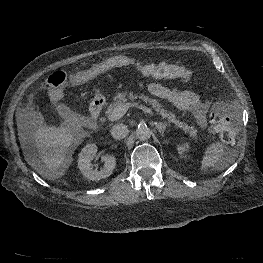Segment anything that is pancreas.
Here are the masks:
<instances>
[{"instance_id":"pancreas-1","label":"pancreas","mask_w":263,"mask_h":263,"mask_svg":"<svg viewBox=\"0 0 263 263\" xmlns=\"http://www.w3.org/2000/svg\"><path fill=\"white\" fill-rule=\"evenodd\" d=\"M128 99L134 101L137 99L143 100L148 105H151L152 108L160 114L163 118L167 119L168 122L175 124L177 127L183 129L185 132L189 134L190 137H192L194 140L197 138V129L194 126H189L185 122H181L178 120L175 115L172 112H169L168 110L164 109L162 105L159 103L158 99H152L148 96L142 95V94H134L132 92H122L118 93L114 99L113 102L109 105L106 115L109 116L114 111V109L120 104L125 103Z\"/></svg>"}]
</instances>
